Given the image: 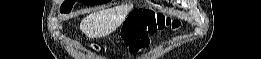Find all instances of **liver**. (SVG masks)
Returning a JSON list of instances; mask_svg holds the SVG:
<instances>
[{"label":"liver","mask_w":261,"mask_h":59,"mask_svg":"<svg viewBox=\"0 0 261 59\" xmlns=\"http://www.w3.org/2000/svg\"><path fill=\"white\" fill-rule=\"evenodd\" d=\"M123 20L124 17L115 9L99 10L85 17L80 29L89 38H100L115 31Z\"/></svg>","instance_id":"liver-1"}]
</instances>
